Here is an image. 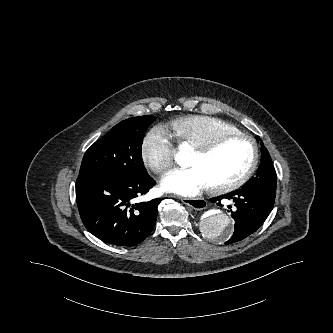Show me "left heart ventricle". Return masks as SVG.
Instances as JSON below:
<instances>
[{"mask_svg":"<svg viewBox=\"0 0 333 333\" xmlns=\"http://www.w3.org/2000/svg\"><path fill=\"white\" fill-rule=\"evenodd\" d=\"M252 145L246 140H230L208 155L193 151L188 165L199 168L211 185L228 182L239 177L250 165Z\"/></svg>","mask_w":333,"mask_h":333,"instance_id":"left-heart-ventricle-1","label":"left heart ventricle"}]
</instances>
